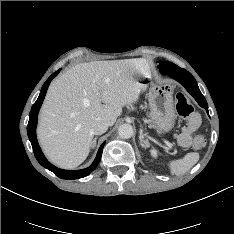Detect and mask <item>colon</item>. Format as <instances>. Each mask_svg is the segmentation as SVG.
Returning a JSON list of instances; mask_svg holds the SVG:
<instances>
[{
  "mask_svg": "<svg viewBox=\"0 0 234 234\" xmlns=\"http://www.w3.org/2000/svg\"><path fill=\"white\" fill-rule=\"evenodd\" d=\"M176 111L179 117L187 120L188 123L195 121V114L192 105L188 98L182 92H178L175 96ZM205 145V139L202 135H198L193 141V148L200 150Z\"/></svg>",
  "mask_w": 234,
  "mask_h": 234,
  "instance_id": "5ec220e1",
  "label": "colon"
}]
</instances>
